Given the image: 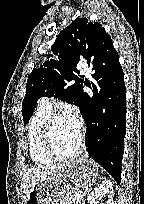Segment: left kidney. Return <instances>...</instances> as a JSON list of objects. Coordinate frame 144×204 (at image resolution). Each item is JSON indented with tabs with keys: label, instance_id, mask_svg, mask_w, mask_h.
Returning a JSON list of instances; mask_svg holds the SVG:
<instances>
[{
	"label": "left kidney",
	"instance_id": "1",
	"mask_svg": "<svg viewBox=\"0 0 144 204\" xmlns=\"http://www.w3.org/2000/svg\"><path fill=\"white\" fill-rule=\"evenodd\" d=\"M109 194L108 195V200L106 202V204H114L113 202V195H114V190H113V185L112 182L108 179H105L102 181V183H100L95 189L94 191L91 193V195L88 196V203L89 204H98L99 203V199L105 195V194ZM102 204V203H101Z\"/></svg>",
	"mask_w": 144,
	"mask_h": 204
}]
</instances>
